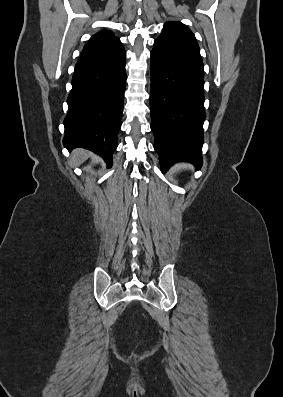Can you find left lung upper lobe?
Wrapping results in <instances>:
<instances>
[{
  "mask_svg": "<svg viewBox=\"0 0 283 397\" xmlns=\"http://www.w3.org/2000/svg\"><path fill=\"white\" fill-rule=\"evenodd\" d=\"M159 46L167 49L189 65L204 72L200 49L191 30L180 22H167L163 32L155 40Z\"/></svg>",
  "mask_w": 283,
  "mask_h": 397,
  "instance_id": "left-lung-upper-lobe-1",
  "label": "left lung upper lobe"
}]
</instances>
